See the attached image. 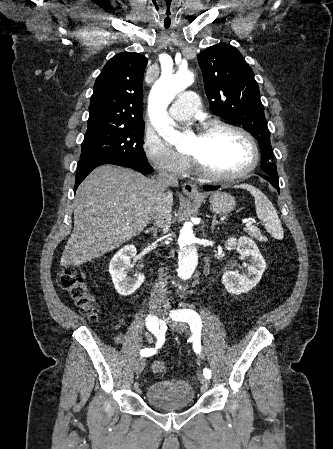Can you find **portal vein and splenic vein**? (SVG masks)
Listing matches in <instances>:
<instances>
[{"label": "portal vein and splenic vein", "mask_w": 333, "mask_h": 449, "mask_svg": "<svg viewBox=\"0 0 333 449\" xmlns=\"http://www.w3.org/2000/svg\"><path fill=\"white\" fill-rule=\"evenodd\" d=\"M245 223H246V226H247V227H250V226L252 225V222H251V221H248V220H247Z\"/></svg>", "instance_id": "obj_1"}]
</instances>
